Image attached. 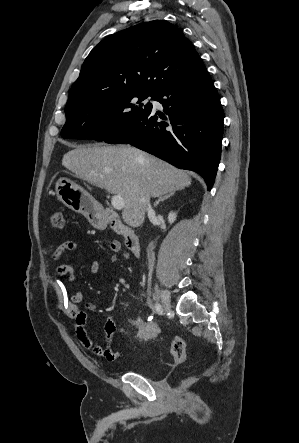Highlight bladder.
Masks as SVG:
<instances>
[{"instance_id": "obj_1", "label": "bladder", "mask_w": 299, "mask_h": 443, "mask_svg": "<svg viewBox=\"0 0 299 443\" xmlns=\"http://www.w3.org/2000/svg\"><path fill=\"white\" fill-rule=\"evenodd\" d=\"M131 368H132L133 372L138 373V374L145 376V377H150L153 375L151 372V369L148 367H140V366H136V365L132 364Z\"/></svg>"}]
</instances>
